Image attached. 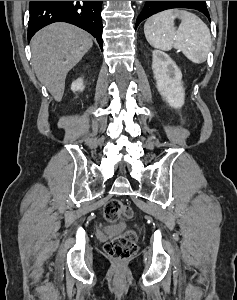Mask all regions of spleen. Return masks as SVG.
Masks as SVG:
<instances>
[{
	"label": "spleen",
	"instance_id": "1",
	"mask_svg": "<svg viewBox=\"0 0 237 300\" xmlns=\"http://www.w3.org/2000/svg\"><path fill=\"white\" fill-rule=\"evenodd\" d=\"M175 19H180L181 25L175 27ZM144 35L151 47L160 51L178 49L192 63H204L212 47L210 31L193 13L169 9L147 19L144 25Z\"/></svg>",
	"mask_w": 237,
	"mask_h": 300
}]
</instances>
